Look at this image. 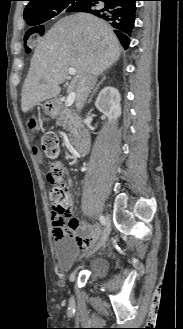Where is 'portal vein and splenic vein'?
<instances>
[{
    "mask_svg": "<svg viewBox=\"0 0 183 329\" xmlns=\"http://www.w3.org/2000/svg\"><path fill=\"white\" fill-rule=\"evenodd\" d=\"M68 73L71 74V75H76L77 71H76V69L70 67V68H68ZM75 98H76V93L75 92H71L67 96V99L65 101V106L66 107L71 106L74 103Z\"/></svg>",
    "mask_w": 183,
    "mask_h": 329,
    "instance_id": "18ae733b",
    "label": "portal vein and splenic vein"
}]
</instances>
